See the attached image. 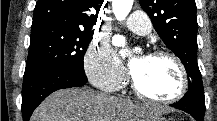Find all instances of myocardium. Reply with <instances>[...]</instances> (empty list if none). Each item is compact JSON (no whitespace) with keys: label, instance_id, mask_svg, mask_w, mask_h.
Masks as SVG:
<instances>
[{"label":"myocardium","instance_id":"f54148a6","mask_svg":"<svg viewBox=\"0 0 217 121\" xmlns=\"http://www.w3.org/2000/svg\"><path fill=\"white\" fill-rule=\"evenodd\" d=\"M149 57L152 58H167L169 59L174 66L176 67L179 74V86L177 90L170 96L165 98H158L153 95H150L144 92L136 82L133 74L131 75V87L134 93L141 99L157 103V104H172L178 100H180L186 94L189 87V78L185 65L181 61V59L175 55L174 53L167 50H156L149 54Z\"/></svg>","mask_w":217,"mask_h":121}]
</instances>
